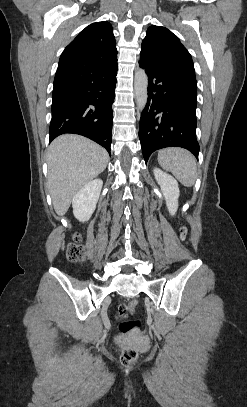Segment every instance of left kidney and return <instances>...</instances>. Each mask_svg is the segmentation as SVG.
Listing matches in <instances>:
<instances>
[{
    "label": "left kidney",
    "mask_w": 247,
    "mask_h": 407,
    "mask_svg": "<svg viewBox=\"0 0 247 407\" xmlns=\"http://www.w3.org/2000/svg\"><path fill=\"white\" fill-rule=\"evenodd\" d=\"M153 172L165 197L169 213L175 215L178 209V198L180 195L178 182L171 175L158 168H154Z\"/></svg>",
    "instance_id": "obj_1"
}]
</instances>
